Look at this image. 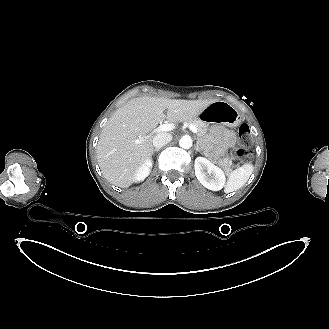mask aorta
I'll return each instance as SVG.
<instances>
[{"label": "aorta", "mask_w": 329, "mask_h": 329, "mask_svg": "<svg viewBox=\"0 0 329 329\" xmlns=\"http://www.w3.org/2000/svg\"><path fill=\"white\" fill-rule=\"evenodd\" d=\"M179 146L181 148L184 149H189L192 146V139L190 136H183L180 140H179Z\"/></svg>", "instance_id": "aorta-1"}]
</instances>
